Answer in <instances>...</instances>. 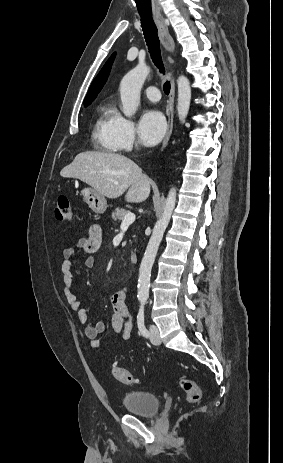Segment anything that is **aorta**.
I'll list each match as a JSON object with an SVG mask.
<instances>
[{"label": "aorta", "mask_w": 283, "mask_h": 463, "mask_svg": "<svg viewBox=\"0 0 283 463\" xmlns=\"http://www.w3.org/2000/svg\"><path fill=\"white\" fill-rule=\"evenodd\" d=\"M150 73V68L139 63L129 71L120 83L122 112L126 117H132L140 105L141 88ZM178 103L177 112L180 122L184 123L191 102V87L187 77L181 75L177 79ZM176 204V188H171L165 203L162 217L155 223L152 236L148 242L141 261L138 279V298L146 300L149 297L150 277L155 257L162 241L164 232L170 222Z\"/></svg>", "instance_id": "762f6f07"}]
</instances>
